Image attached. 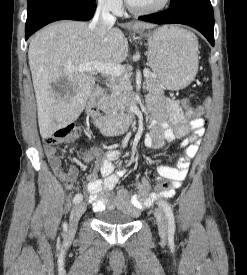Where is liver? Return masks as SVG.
<instances>
[{"label": "liver", "mask_w": 247, "mask_h": 275, "mask_svg": "<svg viewBox=\"0 0 247 275\" xmlns=\"http://www.w3.org/2000/svg\"><path fill=\"white\" fill-rule=\"evenodd\" d=\"M152 23L137 22L133 30L151 29ZM128 56V41L118 28L100 37L79 21H60L38 32L28 50L42 138L73 123L84 110L95 85L91 72L68 71V66L91 62L118 64ZM63 81L66 92L54 85Z\"/></svg>", "instance_id": "1"}]
</instances>
